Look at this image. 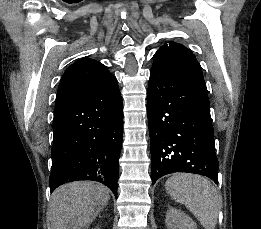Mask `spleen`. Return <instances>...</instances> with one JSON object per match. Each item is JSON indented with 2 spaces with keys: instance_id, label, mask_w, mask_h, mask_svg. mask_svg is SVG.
<instances>
[{
  "instance_id": "1",
  "label": "spleen",
  "mask_w": 261,
  "mask_h": 229,
  "mask_svg": "<svg viewBox=\"0 0 261 229\" xmlns=\"http://www.w3.org/2000/svg\"><path fill=\"white\" fill-rule=\"evenodd\" d=\"M170 197L185 205L205 229H215L220 203L215 187L201 175L173 173L165 183Z\"/></svg>"
}]
</instances>
